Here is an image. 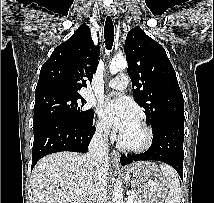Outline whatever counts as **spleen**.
Instances as JSON below:
<instances>
[{
    "instance_id": "spleen-1",
    "label": "spleen",
    "mask_w": 214,
    "mask_h": 203,
    "mask_svg": "<svg viewBox=\"0 0 214 203\" xmlns=\"http://www.w3.org/2000/svg\"><path fill=\"white\" fill-rule=\"evenodd\" d=\"M162 172L167 176L169 181V192L165 203H180L181 188L177 173L167 165L160 166Z\"/></svg>"
}]
</instances>
